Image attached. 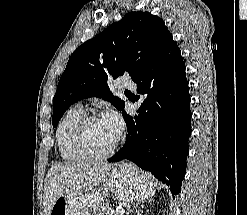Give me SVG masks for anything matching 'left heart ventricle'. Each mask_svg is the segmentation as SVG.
<instances>
[{
  "label": "left heart ventricle",
  "mask_w": 247,
  "mask_h": 215,
  "mask_svg": "<svg viewBox=\"0 0 247 215\" xmlns=\"http://www.w3.org/2000/svg\"><path fill=\"white\" fill-rule=\"evenodd\" d=\"M85 137L89 148L95 152L106 151L117 139L102 118L86 126Z\"/></svg>",
  "instance_id": "b2bd125f"
}]
</instances>
